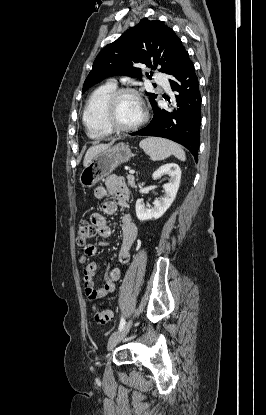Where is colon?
<instances>
[{
    "label": "colon",
    "instance_id": "5ec220e1",
    "mask_svg": "<svg viewBox=\"0 0 266 415\" xmlns=\"http://www.w3.org/2000/svg\"><path fill=\"white\" fill-rule=\"evenodd\" d=\"M96 233V228L92 223L87 221L80 222L77 231V243L85 246L93 238ZM92 317L95 322L99 324H106L111 319V312L106 309L94 307L92 309Z\"/></svg>",
    "mask_w": 266,
    "mask_h": 415
}]
</instances>
